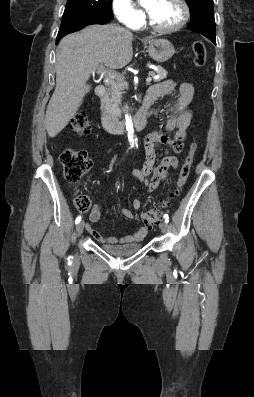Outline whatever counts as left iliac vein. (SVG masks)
I'll list each match as a JSON object with an SVG mask.
<instances>
[{
	"mask_svg": "<svg viewBox=\"0 0 254 397\" xmlns=\"http://www.w3.org/2000/svg\"><path fill=\"white\" fill-rule=\"evenodd\" d=\"M160 229H161V231H162L163 233H166V232L168 231V225H167V223H166L165 221H163V222L160 224Z\"/></svg>",
	"mask_w": 254,
	"mask_h": 397,
	"instance_id": "left-iliac-vein-1",
	"label": "left iliac vein"
}]
</instances>
